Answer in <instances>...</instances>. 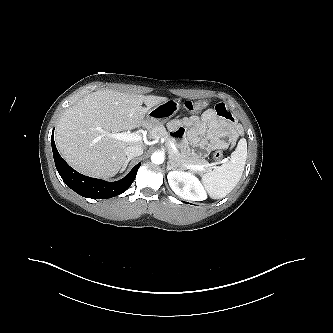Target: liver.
I'll return each instance as SVG.
<instances>
[{
  "label": "liver",
  "mask_w": 333,
  "mask_h": 333,
  "mask_svg": "<svg viewBox=\"0 0 333 333\" xmlns=\"http://www.w3.org/2000/svg\"><path fill=\"white\" fill-rule=\"evenodd\" d=\"M166 99L108 89L88 94L59 119L55 130L57 148L78 172L113 177L125 163V149L130 145L142 147V142L117 140L111 134L143 126L148 110Z\"/></svg>",
  "instance_id": "6515ba94"
}]
</instances>
